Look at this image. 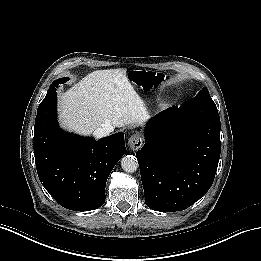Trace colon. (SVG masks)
Segmentation results:
<instances>
[{
	"mask_svg": "<svg viewBox=\"0 0 261 261\" xmlns=\"http://www.w3.org/2000/svg\"><path fill=\"white\" fill-rule=\"evenodd\" d=\"M138 77L141 83L149 88H156L160 82L163 80V77L155 72L143 71L138 73Z\"/></svg>",
	"mask_w": 261,
	"mask_h": 261,
	"instance_id": "colon-1",
	"label": "colon"
}]
</instances>
